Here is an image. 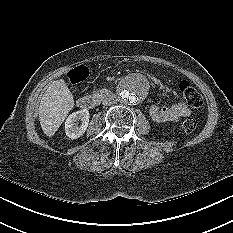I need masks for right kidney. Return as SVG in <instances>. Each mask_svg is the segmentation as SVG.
<instances>
[{
  "instance_id": "obj_1",
  "label": "right kidney",
  "mask_w": 233,
  "mask_h": 233,
  "mask_svg": "<svg viewBox=\"0 0 233 233\" xmlns=\"http://www.w3.org/2000/svg\"><path fill=\"white\" fill-rule=\"evenodd\" d=\"M90 114L87 109L76 111L65 121V133L70 139H77L87 130Z\"/></svg>"
}]
</instances>
